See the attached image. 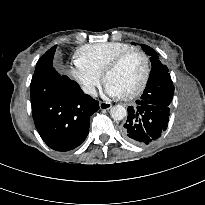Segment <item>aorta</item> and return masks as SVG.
<instances>
[{
    "label": "aorta",
    "instance_id": "1",
    "mask_svg": "<svg viewBox=\"0 0 205 205\" xmlns=\"http://www.w3.org/2000/svg\"><path fill=\"white\" fill-rule=\"evenodd\" d=\"M110 115L114 120H122L127 115V110L122 105H115L110 110Z\"/></svg>",
    "mask_w": 205,
    "mask_h": 205
}]
</instances>
